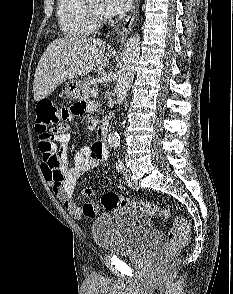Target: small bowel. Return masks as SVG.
<instances>
[{"mask_svg":"<svg viewBox=\"0 0 233 294\" xmlns=\"http://www.w3.org/2000/svg\"><path fill=\"white\" fill-rule=\"evenodd\" d=\"M73 108H60L62 120H57L61 129H72L74 122H79L80 115L92 110L93 106L84 102L73 104ZM69 132H62L55 136L50 149H41V169L45 180L50 184L57 198L63 203L67 211L76 219L94 217L98 212V206L92 201L86 202L82 207L76 205L73 200V192L77 180L86 172L96 168L107 157V151L103 144L95 142L91 146L77 151L74 156H66L67 146L70 142ZM73 161V163H67ZM94 190L91 187L83 189V196L91 198ZM92 204L95 211L87 213L85 206Z\"/></svg>","mask_w":233,"mask_h":294,"instance_id":"1","label":"small bowel"}]
</instances>
